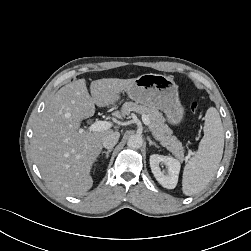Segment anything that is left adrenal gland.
<instances>
[{"instance_id": "1", "label": "left adrenal gland", "mask_w": 251, "mask_h": 251, "mask_svg": "<svg viewBox=\"0 0 251 251\" xmlns=\"http://www.w3.org/2000/svg\"><path fill=\"white\" fill-rule=\"evenodd\" d=\"M147 140L149 142V146L154 145L155 147L159 148V146L154 141H152L151 138L148 137Z\"/></svg>"}]
</instances>
